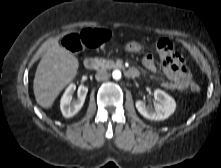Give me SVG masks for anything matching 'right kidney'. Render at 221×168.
I'll return each mask as SVG.
<instances>
[{
    "label": "right kidney",
    "mask_w": 221,
    "mask_h": 168,
    "mask_svg": "<svg viewBox=\"0 0 221 168\" xmlns=\"http://www.w3.org/2000/svg\"><path fill=\"white\" fill-rule=\"evenodd\" d=\"M75 89V84H70L61 98L60 108L63 116L66 118L73 117L79 112L88 93L87 87H80L77 91L78 98L76 100H72Z\"/></svg>",
    "instance_id": "right-kidney-1"
}]
</instances>
